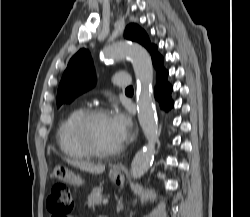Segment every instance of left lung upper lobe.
<instances>
[{
    "mask_svg": "<svg viewBox=\"0 0 250 217\" xmlns=\"http://www.w3.org/2000/svg\"><path fill=\"white\" fill-rule=\"evenodd\" d=\"M128 40L138 42L150 52L155 45L150 43L146 32L136 24H130L125 29ZM95 85V73L92 59L86 49L78 51L69 61L63 73L57 92V107L72 102L78 95Z\"/></svg>",
    "mask_w": 250,
    "mask_h": 217,
    "instance_id": "obj_1",
    "label": "left lung upper lobe"
}]
</instances>
